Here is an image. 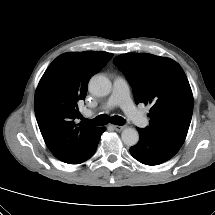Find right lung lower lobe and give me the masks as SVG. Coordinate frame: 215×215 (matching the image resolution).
Listing matches in <instances>:
<instances>
[{"mask_svg": "<svg viewBox=\"0 0 215 215\" xmlns=\"http://www.w3.org/2000/svg\"><path fill=\"white\" fill-rule=\"evenodd\" d=\"M105 130H106L105 127H101V128L99 129L98 134H97V136H96V139H95V141H94L92 147L90 148V150L87 152L86 156L84 157V159H83L80 163H82V162L88 160V159L95 153L96 148H97V145H98V142H99V140H100V136H101V134H102Z\"/></svg>", "mask_w": 215, "mask_h": 215, "instance_id": "98d812e1", "label": "right lung lower lobe"}]
</instances>
